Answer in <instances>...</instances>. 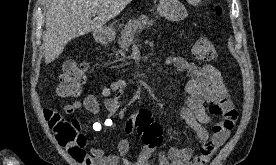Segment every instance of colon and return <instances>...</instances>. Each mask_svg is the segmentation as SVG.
<instances>
[{
    "label": "colon",
    "mask_w": 276,
    "mask_h": 165,
    "mask_svg": "<svg viewBox=\"0 0 276 165\" xmlns=\"http://www.w3.org/2000/svg\"><path fill=\"white\" fill-rule=\"evenodd\" d=\"M217 15L221 9L216 8ZM193 54L202 61H213L217 51L212 41L207 38L198 39L193 45ZM86 63L73 58L68 60L63 67L57 85V94L60 97H75L80 94L81 87L86 79ZM48 124L57 140L62 146L82 144L80 126L74 120H66L60 113L53 111L48 114ZM126 132H136L145 145L154 149L162 142V127L153 118L149 109L138 110L126 124Z\"/></svg>",
    "instance_id": "1"
}]
</instances>
